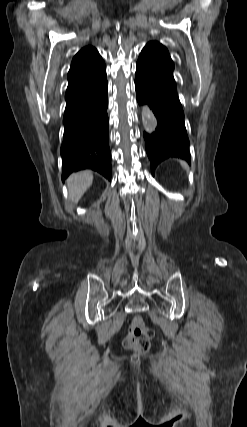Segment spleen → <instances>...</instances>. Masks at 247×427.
Returning a JSON list of instances; mask_svg holds the SVG:
<instances>
[{
    "mask_svg": "<svg viewBox=\"0 0 247 427\" xmlns=\"http://www.w3.org/2000/svg\"><path fill=\"white\" fill-rule=\"evenodd\" d=\"M181 165H182V167H183V168H185V169H186V168H188L185 162H181Z\"/></svg>",
    "mask_w": 247,
    "mask_h": 427,
    "instance_id": "3e777b00",
    "label": "spleen"
}]
</instances>
